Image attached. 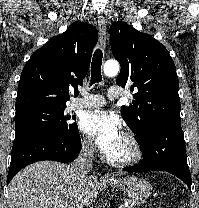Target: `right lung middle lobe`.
<instances>
[{"label": "right lung middle lobe", "mask_w": 199, "mask_h": 208, "mask_svg": "<svg viewBox=\"0 0 199 208\" xmlns=\"http://www.w3.org/2000/svg\"><path fill=\"white\" fill-rule=\"evenodd\" d=\"M65 107L44 106L27 107L16 110L15 139L33 132L47 133L51 136L64 137L77 129L76 123L69 120L75 117L64 114Z\"/></svg>", "instance_id": "1"}]
</instances>
